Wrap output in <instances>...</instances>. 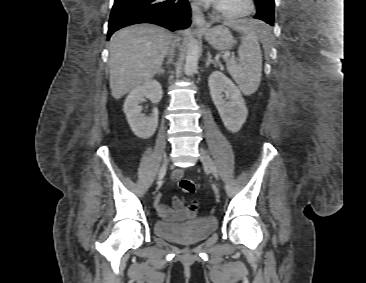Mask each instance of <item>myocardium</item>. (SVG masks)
I'll use <instances>...</instances> for the list:
<instances>
[{"label": "myocardium", "mask_w": 366, "mask_h": 283, "mask_svg": "<svg viewBox=\"0 0 366 283\" xmlns=\"http://www.w3.org/2000/svg\"><path fill=\"white\" fill-rule=\"evenodd\" d=\"M244 6L240 9H229L220 3H216L214 9L225 19H239L252 14L255 10V0H243Z\"/></svg>", "instance_id": "myocardium-1"}]
</instances>
